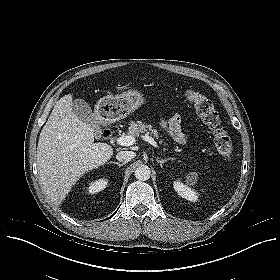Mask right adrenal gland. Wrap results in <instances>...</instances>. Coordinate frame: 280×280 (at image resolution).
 Segmentation results:
<instances>
[{"label":"right adrenal gland","instance_id":"right-adrenal-gland-1","mask_svg":"<svg viewBox=\"0 0 280 280\" xmlns=\"http://www.w3.org/2000/svg\"><path fill=\"white\" fill-rule=\"evenodd\" d=\"M110 163H113V164H116V165H118L119 167H122L124 164H121V163H119V162H110Z\"/></svg>","mask_w":280,"mask_h":280}]
</instances>
